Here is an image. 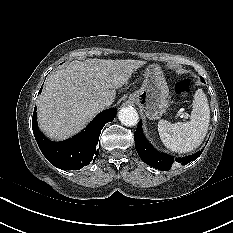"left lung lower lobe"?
Returning <instances> with one entry per match:
<instances>
[{
    "instance_id": "1",
    "label": "left lung lower lobe",
    "mask_w": 233,
    "mask_h": 233,
    "mask_svg": "<svg viewBox=\"0 0 233 233\" xmlns=\"http://www.w3.org/2000/svg\"><path fill=\"white\" fill-rule=\"evenodd\" d=\"M134 139L136 151L142 161L158 170L167 171L175 162L186 165L201 155V152H197L188 157L175 159L173 156L156 151L154 147H152L151 144L145 139L142 132L141 122L137 126Z\"/></svg>"
}]
</instances>
